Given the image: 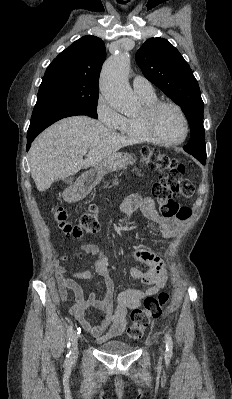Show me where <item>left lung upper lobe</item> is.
<instances>
[{
  "instance_id": "obj_1",
  "label": "left lung upper lobe",
  "mask_w": 232,
  "mask_h": 399,
  "mask_svg": "<svg viewBox=\"0 0 232 399\" xmlns=\"http://www.w3.org/2000/svg\"><path fill=\"white\" fill-rule=\"evenodd\" d=\"M144 76L178 104L190 125L191 136L184 150L206 160L203 126L204 103L198 82L188 63L166 39L150 38L136 53Z\"/></svg>"
}]
</instances>
